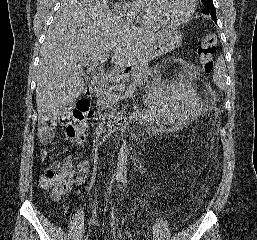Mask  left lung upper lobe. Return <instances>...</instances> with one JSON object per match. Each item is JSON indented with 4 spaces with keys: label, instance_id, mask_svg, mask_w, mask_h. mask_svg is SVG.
Masks as SVG:
<instances>
[{
    "label": "left lung upper lobe",
    "instance_id": "1",
    "mask_svg": "<svg viewBox=\"0 0 257 240\" xmlns=\"http://www.w3.org/2000/svg\"><path fill=\"white\" fill-rule=\"evenodd\" d=\"M204 6V9L201 11L203 14L210 15L214 22H217L216 11L213 5L212 0H201Z\"/></svg>",
    "mask_w": 257,
    "mask_h": 240
}]
</instances>
